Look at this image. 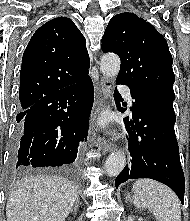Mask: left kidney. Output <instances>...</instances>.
Segmentation results:
<instances>
[{
  "instance_id": "left-kidney-1",
  "label": "left kidney",
  "mask_w": 190,
  "mask_h": 221,
  "mask_svg": "<svg viewBox=\"0 0 190 221\" xmlns=\"http://www.w3.org/2000/svg\"><path fill=\"white\" fill-rule=\"evenodd\" d=\"M128 221H134V217H128Z\"/></svg>"
}]
</instances>
